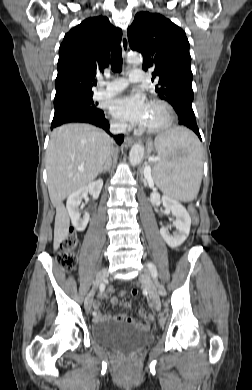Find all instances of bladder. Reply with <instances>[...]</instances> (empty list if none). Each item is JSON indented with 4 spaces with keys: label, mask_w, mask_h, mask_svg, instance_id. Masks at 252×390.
I'll list each match as a JSON object with an SVG mask.
<instances>
[{
    "label": "bladder",
    "mask_w": 252,
    "mask_h": 390,
    "mask_svg": "<svg viewBox=\"0 0 252 390\" xmlns=\"http://www.w3.org/2000/svg\"><path fill=\"white\" fill-rule=\"evenodd\" d=\"M91 338L101 346L133 353L150 344L154 335L131 324L103 321L92 325Z\"/></svg>",
    "instance_id": "1"
}]
</instances>
